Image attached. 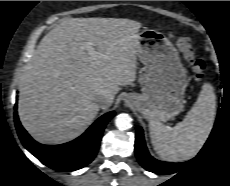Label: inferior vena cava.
<instances>
[{
  "instance_id": "602c4592",
  "label": "inferior vena cava",
  "mask_w": 230,
  "mask_h": 186,
  "mask_svg": "<svg viewBox=\"0 0 230 186\" xmlns=\"http://www.w3.org/2000/svg\"><path fill=\"white\" fill-rule=\"evenodd\" d=\"M96 102L100 105L103 106L109 102L108 98L105 96H98L96 99Z\"/></svg>"
}]
</instances>
